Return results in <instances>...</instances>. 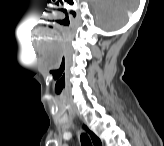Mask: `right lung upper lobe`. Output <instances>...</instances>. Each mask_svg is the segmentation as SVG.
Wrapping results in <instances>:
<instances>
[{
	"label": "right lung upper lobe",
	"mask_w": 164,
	"mask_h": 146,
	"mask_svg": "<svg viewBox=\"0 0 164 146\" xmlns=\"http://www.w3.org/2000/svg\"><path fill=\"white\" fill-rule=\"evenodd\" d=\"M85 128L89 132L94 145L95 146H100L101 145V141L99 140V138L93 132L89 131L87 127H85Z\"/></svg>",
	"instance_id": "obj_1"
}]
</instances>
